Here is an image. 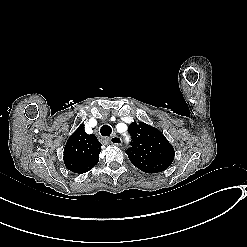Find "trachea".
Instances as JSON below:
<instances>
[{
    "label": "trachea",
    "instance_id": "obj_1",
    "mask_svg": "<svg viewBox=\"0 0 247 247\" xmlns=\"http://www.w3.org/2000/svg\"><path fill=\"white\" fill-rule=\"evenodd\" d=\"M100 133H101L102 136L108 137V136L111 135L112 129H111V127L109 125H104L100 129Z\"/></svg>",
    "mask_w": 247,
    "mask_h": 247
}]
</instances>
